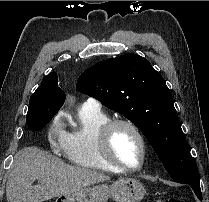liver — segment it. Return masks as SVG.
I'll return each instance as SVG.
<instances>
[{
	"mask_svg": "<svg viewBox=\"0 0 209 202\" xmlns=\"http://www.w3.org/2000/svg\"><path fill=\"white\" fill-rule=\"evenodd\" d=\"M109 179L101 172L67 165L46 151L27 147L14 157L6 197L8 202H44ZM35 180L37 185H33Z\"/></svg>",
	"mask_w": 209,
	"mask_h": 202,
	"instance_id": "6515ba94",
	"label": "liver"
}]
</instances>
